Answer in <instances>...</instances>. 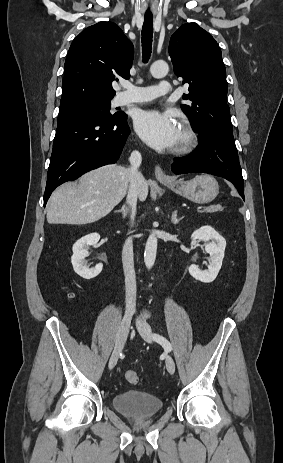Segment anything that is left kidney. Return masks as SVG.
Returning a JSON list of instances; mask_svg holds the SVG:
<instances>
[{
  "mask_svg": "<svg viewBox=\"0 0 283 463\" xmlns=\"http://www.w3.org/2000/svg\"><path fill=\"white\" fill-rule=\"evenodd\" d=\"M192 240H202L205 244V251L209 253L210 260L207 270H200L195 264L190 265V275L204 283L213 282L222 266L226 240L211 226H202L191 235ZM211 240V242H209Z\"/></svg>",
  "mask_w": 283,
  "mask_h": 463,
  "instance_id": "obj_1",
  "label": "left kidney"
}]
</instances>
